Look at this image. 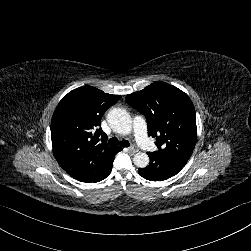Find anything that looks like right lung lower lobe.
I'll return each mask as SVG.
<instances>
[{
	"label": "right lung lower lobe",
	"mask_w": 251,
	"mask_h": 251,
	"mask_svg": "<svg viewBox=\"0 0 251 251\" xmlns=\"http://www.w3.org/2000/svg\"><path fill=\"white\" fill-rule=\"evenodd\" d=\"M112 164H113V163H112ZM111 170H112V165H111L110 168L107 170V172L105 173V175H104L100 180H98V181H101V180L105 179V178L110 174ZM98 181H96V182H98Z\"/></svg>",
	"instance_id": "right-lung-lower-lobe-1"
}]
</instances>
